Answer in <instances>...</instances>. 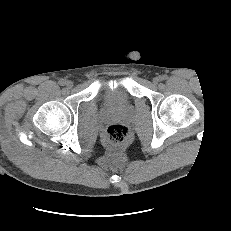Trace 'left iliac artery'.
Wrapping results in <instances>:
<instances>
[{
    "mask_svg": "<svg viewBox=\"0 0 231 231\" xmlns=\"http://www.w3.org/2000/svg\"><path fill=\"white\" fill-rule=\"evenodd\" d=\"M167 79V76L166 75H163L162 77H161V80H166Z\"/></svg>",
    "mask_w": 231,
    "mask_h": 231,
    "instance_id": "obj_1",
    "label": "left iliac artery"
}]
</instances>
